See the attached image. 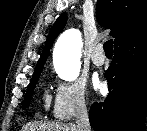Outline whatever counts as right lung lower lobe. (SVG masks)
I'll return each instance as SVG.
<instances>
[{"label":"right lung lower lobe","mask_w":147,"mask_h":131,"mask_svg":"<svg viewBox=\"0 0 147 131\" xmlns=\"http://www.w3.org/2000/svg\"><path fill=\"white\" fill-rule=\"evenodd\" d=\"M109 95L90 108L95 131H144L147 99V29L114 50L105 72Z\"/></svg>","instance_id":"obj_1"}]
</instances>
